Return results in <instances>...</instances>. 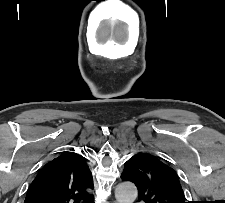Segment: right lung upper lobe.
Returning <instances> with one entry per match:
<instances>
[{"label": "right lung upper lobe", "instance_id": "obj_1", "mask_svg": "<svg viewBox=\"0 0 225 203\" xmlns=\"http://www.w3.org/2000/svg\"><path fill=\"white\" fill-rule=\"evenodd\" d=\"M93 179L86 159L65 152L48 162L29 186L24 203H92Z\"/></svg>", "mask_w": 225, "mask_h": 203}]
</instances>
